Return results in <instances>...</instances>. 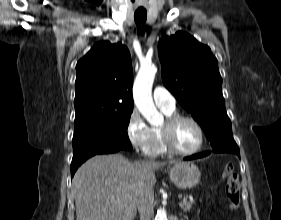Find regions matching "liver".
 Returning <instances> with one entry per match:
<instances>
[{"label":"liver","instance_id":"1","mask_svg":"<svg viewBox=\"0 0 281 220\" xmlns=\"http://www.w3.org/2000/svg\"><path fill=\"white\" fill-rule=\"evenodd\" d=\"M165 164L130 162L121 154L87 160L72 180L76 220H134L138 195L153 190L155 171Z\"/></svg>","mask_w":281,"mask_h":220}]
</instances>
